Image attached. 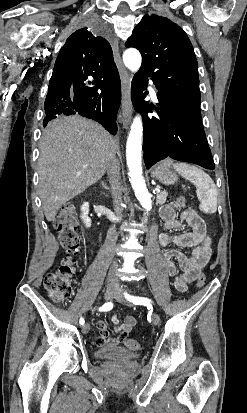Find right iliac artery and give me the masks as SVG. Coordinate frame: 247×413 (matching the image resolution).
<instances>
[{
    "mask_svg": "<svg viewBox=\"0 0 247 413\" xmlns=\"http://www.w3.org/2000/svg\"><path fill=\"white\" fill-rule=\"evenodd\" d=\"M113 308V303L107 302L102 307L99 308V311H109ZM79 323L83 325L85 323L84 319L81 317Z\"/></svg>",
    "mask_w": 247,
    "mask_h": 413,
    "instance_id": "82829eb1",
    "label": "right iliac artery"
}]
</instances>
